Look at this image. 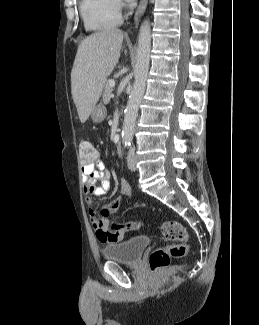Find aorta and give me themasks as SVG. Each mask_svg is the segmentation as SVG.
Segmentation results:
<instances>
[{
  "label": "aorta",
  "instance_id": "obj_1",
  "mask_svg": "<svg viewBox=\"0 0 259 325\" xmlns=\"http://www.w3.org/2000/svg\"><path fill=\"white\" fill-rule=\"evenodd\" d=\"M151 26L148 19L144 20L139 31L137 61L134 70L135 80L127 102L122 127V139L130 144L133 139L139 106L146 88V80L150 65Z\"/></svg>",
  "mask_w": 259,
  "mask_h": 325
}]
</instances>
